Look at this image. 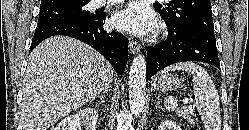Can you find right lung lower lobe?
Segmentation results:
<instances>
[{
	"instance_id": "98d812e1",
	"label": "right lung lower lobe",
	"mask_w": 249,
	"mask_h": 130,
	"mask_svg": "<svg viewBox=\"0 0 249 130\" xmlns=\"http://www.w3.org/2000/svg\"><path fill=\"white\" fill-rule=\"evenodd\" d=\"M104 15H94L86 21H70L37 27L32 39L30 52L43 40L55 35H65L78 39L100 52L122 75L128 58V39L120 32L103 29Z\"/></svg>"
}]
</instances>
